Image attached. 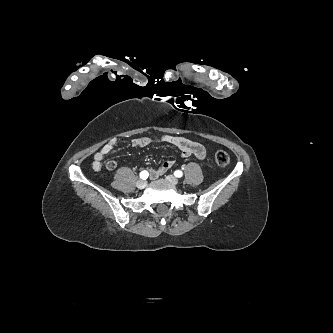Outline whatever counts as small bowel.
I'll use <instances>...</instances> for the list:
<instances>
[{"label":"small bowel","mask_w":333,"mask_h":333,"mask_svg":"<svg viewBox=\"0 0 333 333\" xmlns=\"http://www.w3.org/2000/svg\"><path fill=\"white\" fill-rule=\"evenodd\" d=\"M152 143H164L172 145L181 151L183 157L194 156L197 159H204L206 155L205 148L202 144L189 140L181 136H171L164 135L159 139L152 140L148 137H138L132 140V146L136 148L146 147ZM118 140L112 139L106 143L97 153H95L92 162V168L94 171H100L103 168L104 158L112 152V150L117 146ZM174 160H167L161 163L156 168L150 169V174L153 178H157L160 175L168 171L173 165ZM117 167V162L115 160H108L105 163V168L108 171H113Z\"/></svg>","instance_id":"small-bowel-1"}]
</instances>
